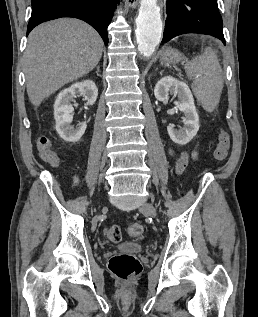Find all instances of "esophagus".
<instances>
[{
	"label": "esophagus",
	"instance_id": "obj_1",
	"mask_svg": "<svg viewBox=\"0 0 258 317\" xmlns=\"http://www.w3.org/2000/svg\"><path fill=\"white\" fill-rule=\"evenodd\" d=\"M139 0H125V4L128 7L135 8L138 4Z\"/></svg>",
	"mask_w": 258,
	"mask_h": 317
}]
</instances>
